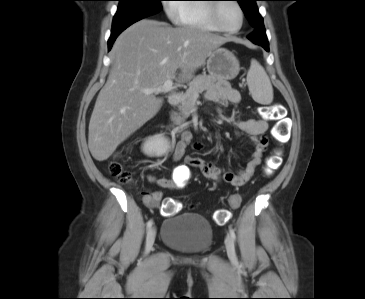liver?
<instances>
[{
	"label": "liver",
	"mask_w": 365,
	"mask_h": 299,
	"mask_svg": "<svg viewBox=\"0 0 365 299\" xmlns=\"http://www.w3.org/2000/svg\"><path fill=\"white\" fill-rule=\"evenodd\" d=\"M231 38L195 27H171L141 20L126 29L112 48V69L89 122L88 147L94 159L107 160L136 130L153 118L162 100L143 89L168 79L190 81L209 54Z\"/></svg>",
	"instance_id": "liver-1"
}]
</instances>
